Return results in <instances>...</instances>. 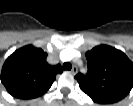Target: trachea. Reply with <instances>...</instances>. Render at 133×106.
Wrapping results in <instances>:
<instances>
[{
    "mask_svg": "<svg viewBox=\"0 0 133 106\" xmlns=\"http://www.w3.org/2000/svg\"><path fill=\"white\" fill-rule=\"evenodd\" d=\"M71 68H72V65L69 62H65L63 64V69H65V70H71Z\"/></svg>",
    "mask_w": 133,
    "mask_h": 106,
    "instance_id": "trachea-1",
    "label": "trachea"
}]
</instances>
